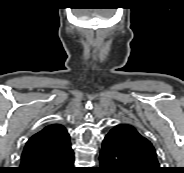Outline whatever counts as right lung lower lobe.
<instances>
[{
  "label": "right lung lower lobe",
  "mask_w": 184,
  "mask_h": 173,
  "mask_svg": "<svg viewBox=\"0 0 184 173\" xmlns=\"http://www.w3.org/2000/svg\"><path fill=\"white\" fill-rule=\"evenodd\" d=\"M74 153L71 149L67 153L40 162L20 166L17 173H78L74 166Z\"/></svg>",
  "instance_id": "right-lung-lower-lobe-1"
}]
</instances>
